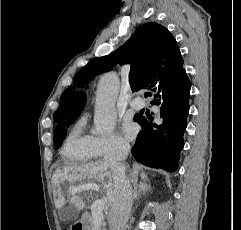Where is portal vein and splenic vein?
Wrapping results in <instances>:
<instances>
[{"instance_id":"18ae733b","label":"portal vein and splenic vein","mask_w":241,"mask_h":230,"mask_svg":"<svg viewBox=\"0 0 241 230\" xmlns=\"http://www.w3.org/2000/svg\"><path fill=\"white\" fill-rule=\"evenodd\" d=\"M94 189L98 190L96 186L94 187ZM106 204H107L106 199H98L92 204V207H91L92 218L95 224H99L103 220L102 211Z\"/></svg>"}]
</instances>
